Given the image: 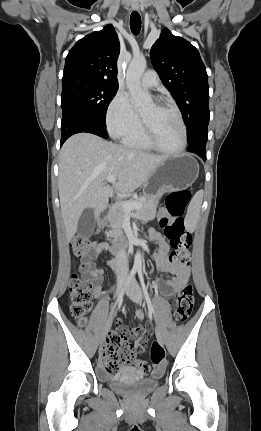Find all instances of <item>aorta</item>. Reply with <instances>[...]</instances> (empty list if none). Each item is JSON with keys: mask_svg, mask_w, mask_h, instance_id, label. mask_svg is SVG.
Wrapping results in <instances>:
<instances>
[{"mask_svg": "<svg viewBox=\"0 0 261 431\" xmlns=\"http://www.w3.org/2000/svg\"><path fill=\"white\" fill-rule=\"evenodd\" d=\"M146 67L145 58H133L126 73V85L130 92L131 102L136 108H141L151 103L150 93L141 87V76ZM134 263L141 265L142 255L140 251L135 254Z\"/></svg>", "mask_w": 261, "mask_h": 431, "instance_id": "762f6f07", "label": "aorta"}]
</instances>
